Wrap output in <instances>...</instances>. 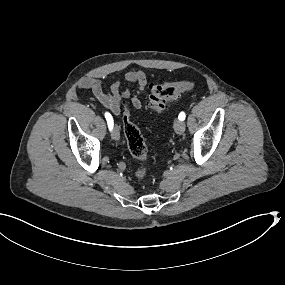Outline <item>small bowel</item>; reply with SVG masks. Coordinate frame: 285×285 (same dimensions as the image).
<instances>
[{
  "label": "small bowel",
  "instance_id": "c3829d8e",
  "mask_svg": "<svg viewBox=\"0 0 285 285\" xmlns=\"http://www.w3.org/2000/svg\"><path fill=\"white\" fill-rule=\"evenodd\" d=\"M126 81L129 84L136 86L137 90L136 94L132 98V105L136 109H140L142 107V101L139 95L147 87V77L143 71H130L126 74ZM79 87L90 90L96 99L102 104V106L116 116L120 115L121 113L122 98L129 95V89L123 88L120 82H114L111 85L110 90L106 91L101 81L91 77L83 78L79 82Z\"/></svg>",
  "mask_w": 285,
  "mask_h": 285
}]
</instances>
